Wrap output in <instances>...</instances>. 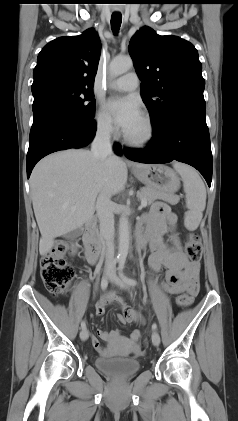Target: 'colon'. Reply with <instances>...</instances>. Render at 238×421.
<instances>
[{"instance_id":"5ec220e1","label":"colon","mask_w":238,"mask_h":421,"mask_svg":"<svg viewBox=\"0 0 238 421\" xmlns=\"http://www.w3.org/2000/svg\"><path fill=\"white\" fill-rule=\"evenodd\" d=\"M68 248L64 243L55 245L41 259L40 274L42 281L53 296L63 295L74 277L73 267L65 260ZM186 252L192 262H198L202 257L200 237L195 233L187 236ZM199 287L198 282L187 285L186 291L178 296L177 305L180 308L188 307Z\"/></svg>"}]
</instances>
